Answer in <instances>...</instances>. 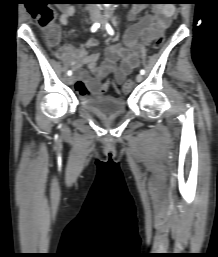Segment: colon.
I'll return each instance as SVG.
<instances>
[{
	"mask_svg": "<svg viewBox=\"0 0 218 257\" xmlns=\"http://www.w3.org/2000/svg\"><path fill=\"white\" fill-rule=\"evenodd\" d=\"M25 10H34L33 15L37 18L38 24L45 29L47 39L51 45H55L58 41L59 33L57 27L54 25L55 12L50 7H43V5H25ZM164 34H159L154 41L153 47L158 49L163 42ZM132 82L127 81L123 85L124 92H130L132 89ZM102 94H107V98H120L122 90L119 89L118 82L113 79H107L106 82H101Z\"/></svg>",
	"mask_w": 218,
	"mask_h": 257,
	"instance_id": "obj_1",
	"label": "colon"
}]
</instances>
